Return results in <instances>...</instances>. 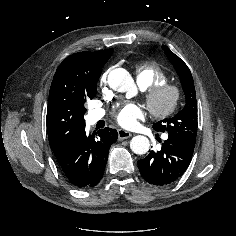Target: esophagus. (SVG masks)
Instances as JSON below:
<instances>
[{"instance_id":"esophagus-1","label":"esophagus","mask_w":236,"mask_h":236,"mask_svg":"<svg viewBox=\"0 0 236 236\" xmlns=\"http://www.w3.org/2000/svg\"><path fill=\"white\" fill-rule=\"evenodd\" d=\"M132 134L124 129H118V138L120 140H123V139H127L129 137H131Z\"/></svg>"}]
</instances>
